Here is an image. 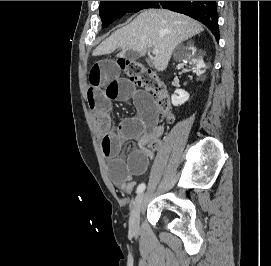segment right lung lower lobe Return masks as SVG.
<instances>
[{
  "mask_svg": "<svg viewBox=\"0 0 271 266\" xmlns=\"http://www.w3.org/2000/svg\"><path fill=\"white\" fill-rule=\"evenodd\" d=\"M165 8L188 15L209 28L219 40L216 1H154L149 8Z\"/></svg>",
  "mask_w": 271,
  "mask_h": 266,
  "instance_id": "1",
  "label": "right lung lower lobe"
}]
</instances>
